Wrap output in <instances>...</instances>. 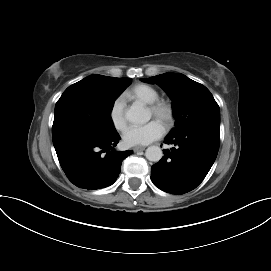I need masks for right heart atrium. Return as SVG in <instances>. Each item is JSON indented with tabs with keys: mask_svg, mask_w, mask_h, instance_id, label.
<instances>
[{
	"mask_svg": "<svg viewBox=\"0 0 271 271\" xmlns=\"http://www.w3.org/2000/svg\"><path fill=\"white\" fill-rule=\"evenodd\" d=\"M109 117L115 129L122 130L125 127V99L123 96H118L113 101L110 108Z\"/></svg>",
	"mask_w": 271,
	"mask_h": 271,
	"instance_id": "1",
	"label": "right heart atrium"
}]
</instances>
